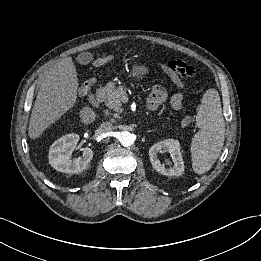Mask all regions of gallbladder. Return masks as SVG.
<instances>
[{
    "label": "gallbladder",
    "instance_id": "obj_1",
    "mask_svg": "<svg viewBox=\"0 0 261 261\" xmlns=\"http://www.w3.org/2000/svg\"><path fill=\"white\" fill-rule=\"evenodd\" d=\"M86 54H80L78 57H77V61L80 63V64H85L88 62L89 58H86L84 57Z\"/></svg>",
    "mask_w": 261,
    "mask_h": 261
}]
</instances>
